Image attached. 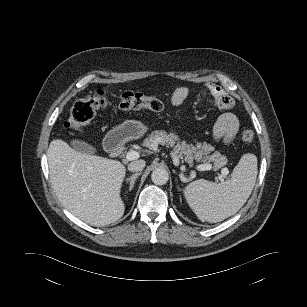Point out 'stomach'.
<instances>
[{"instance_id": "obj_1", "label": "stomach", "mask_w": 307, "mask_h": 307, "mask_svg": "<svg viewBox=\"0 0 307 307\" xmlns=\"http://www.w3.org/2000/svg\"><path fill=\"white\" fill-rule=\"evenodd\" d=\"M148 128L145 124L137 120H127L110 131V135H115L120 141H129L142 137Z\"/></svg>"}]
</instances>
